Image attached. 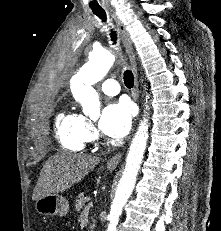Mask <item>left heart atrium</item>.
Instances as JSON below:
<instances>
[{
  "instance_id": "obj_1",
  "label": "left heart atrium",
  "mask_w": 221,
  "mask_h": 231,
  "mask_svg": "<svg viewBox=\"0 0 221 231\" xmlns=\"http://www.w3.org/2000/svg\"><path fill=\"white\" fill-rule=\"evenodd\" d=\"M132 123V108L125 101L108 104L99 120L100 130L111 138H121L130 130Z\"/></svg>"
}]
</instances>
